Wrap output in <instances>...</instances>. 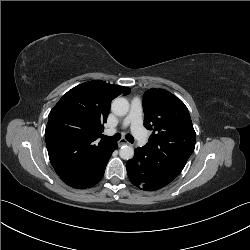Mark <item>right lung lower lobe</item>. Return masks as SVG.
<instances>
[{
    "label": "right lung lower lobe",
    "mask_w": 250,
    "mask_h": 250,
    "mask_svg": "<svg viewBox=\"0 0 250 250\" xmlns=\"http://www.w3.org/2000/svg\"><path fill=\"white\" fill-rule=\"evenodd\" d=\"M117 147H118V145H117L116 143H114L112 149H111V150L109 151V153L107 154L106 159H105V161H104V164L102 165V168H101V170H100L99 176H98L96 182H95L93 185L97 184V183L102 179L103 174H104V171H105V168H106V164L108 163V160H109V158L111 157L112 152H113Z\"/></svg>",
    "instance_id": "obj_1"
}]
</instances>
